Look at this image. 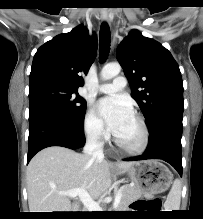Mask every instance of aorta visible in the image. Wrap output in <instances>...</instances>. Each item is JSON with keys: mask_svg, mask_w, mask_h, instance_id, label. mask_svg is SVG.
<instances>
[{"mask_svg": "<svg viewBox=\"0 0 203 219\" xmlns=\"http://www.w3.org/2000/svg\"><path fill=\"white\" fill-rule=\"evenodd\" d=\"M121 71V66L118 63H110L105 65L101 70V78L103 80H110L116 77Z\"/></svg>", "mask_w": 203, "mask_h": 219, "instance_id": "obj_1", "label": "aorta"}]
</instances>
